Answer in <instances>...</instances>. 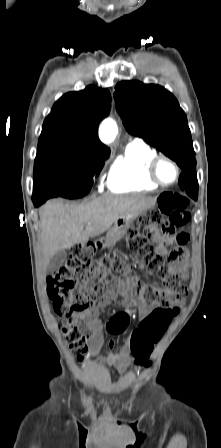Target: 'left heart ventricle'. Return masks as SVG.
<instances>
[{"label": "left heart ventricle", "instance_id": "b2bd125f", "mask_svg": "<svg viewBox=\"0 0 221 448\" xmlns=\"http://www.w3.org/2000/svg\"><path fill=\"white\" fill-rule=\"evenodd\" d=\"M158 175L164 182H172L176 176L175 168L168 161H161L158 167Z\"/></svg>", "mask_w": 221, "mask_h": 448}]
</instances>
